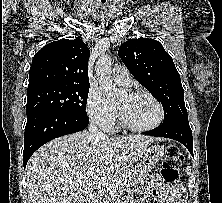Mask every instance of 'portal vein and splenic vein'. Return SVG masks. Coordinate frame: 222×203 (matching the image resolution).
Listing matches in <instances>:
<instances>
[{
	"label": "portal vein and splenic vein",
	"mask_w": 222,
	"mask_h": 203,
	"mask_svg": "<svg viewBox=\"0 0 222 203\" xmlns=\"http://www.w3.org/2000/svg\"><path fill=\"white\" fill-rule=\"evenodd\" d=\"M127 182L126 179L121 181H113V182H104L101 184H94V189H105L107 191H116L119 184Z\"/></svg>",
	"instance_id": "portal-vein-and-splenic-vein-1"
}]
</instances>
